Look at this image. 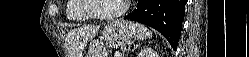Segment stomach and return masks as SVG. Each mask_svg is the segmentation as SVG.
I'll return each mask as SVG.
<instances>
[{
    "instance_id": "1",
    "label": "stomach",
    "mask_w": 249,
    "mask_h": 57,
    "mask_svg": "<svg viewBox=\"0 0 249 57\" xmlns=\"http://www.w3.org/2000/svg\"><path fill=\"white\" fill-rule=\"evenodd\" d=\"M138 35L137 28L131 21L116 20L103 29L100 40H92L87 57H108L102 40L113 46H125Z\"/></svg>"
}]
</instances>
